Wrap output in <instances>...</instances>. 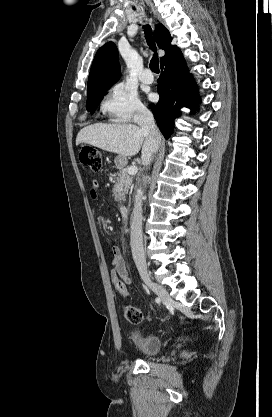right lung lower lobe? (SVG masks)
<instances>
[{
  "label": "right lung lower lobe",
  "mask_w": 272,
  "mask_h": 417,
  "mask_svg": "<svg viewBox=\"0 0 272 417\" xmlns=\"http://www.w3.org/2000/svg\"><path fill=\"white\" fill-rule=\"evenodd\" d=\"M157 90L159 102L151 104L150 108L162 134L168 139L173 132L174 119L180 116V109L186 106L194 111L200 102L194 80L178 48L161 62Z\"/></svg>",
  "instance_id": "98d812e1"
}]
</instances>
